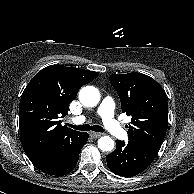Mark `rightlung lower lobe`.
I'll return each instance as SVG.
<instances>
[{
	"label": "right lung lower lobe",
	"mask_w": 194,
	"mask_h": 194,
	"mask_svg": "<svg viewBox=\"0 0 194 194\" xmlns=\"http://www.w3.org/2000/svg\"><path fill=\"white\" fill-rule=\"evenodd\" d=\"M88 136V133L81 132L74 140L59 147L49 159L36 167L48 175L62 176L70 173L77 164Z\"/></svg>",
	"instance_id": "1"
}]
</instances>
